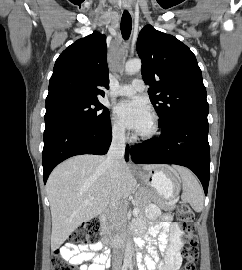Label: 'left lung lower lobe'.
Masks as SVG:
<instances>
[{
    "instance_id": "1",
    "label": "left lung lower lobe",
    "mask_w": 242,
    "mask_h": 270,
    "mask_svg": "<svg viewBox=\"0 0 242 270\" xmlns=\"http://www.w3.org/2000/svg\"><path fill=\"white\" fill-rule=\"evenodd\" d=\"M208 120L205 115L183 116L162 127L157 139L130 149L136 164H176L192 170L207 194L210 178Z\"/></svg>"
}]
</instances>
